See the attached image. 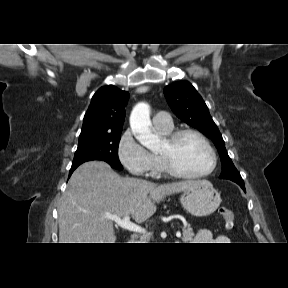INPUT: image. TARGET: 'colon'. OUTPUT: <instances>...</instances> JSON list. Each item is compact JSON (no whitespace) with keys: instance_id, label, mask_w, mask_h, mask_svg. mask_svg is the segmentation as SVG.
Returning <instances> with one entry per match:
<instances>
[{"instance_id":"obj_1","label":"colon","mask_w":288,"mask_h":288,"mask_svg":"<svg viewBox=\"0 0 288 288\" xmlns=\"http://www.w3.org/2000/svg\"><path fill=\"white\" fill-rule=\"evenodd\" d=\"M219 213L224 221V226L227 230H232L235 224V215L232 210L220 208Z\"/></svg>"}]
</instances>
